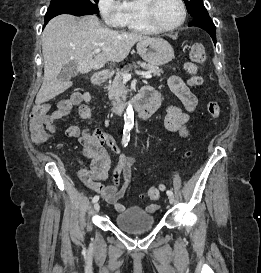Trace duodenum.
<instances>
[{"label": "duodenum", "mask_w": 261, "mask_h": 273, "mask_svg": "<svg viewBox=\"0 0 261 273\" xmlns=\"http://www.w3.org/2000/svg\"><path fill=\"white\" fill-rule=\"evenodd\" d=\"M108 74L106 72H99L94 75L92 84L97 86L107 80ZM134 109L138 111L141 120L148 119L157 109V104L153 95L148 89H143L131 103ZM129 104L121 102L111 107V112L116 115H121L126 112Z\"/></svg>", "instance_id": "obj_1"}]
</instances>
